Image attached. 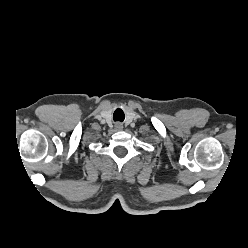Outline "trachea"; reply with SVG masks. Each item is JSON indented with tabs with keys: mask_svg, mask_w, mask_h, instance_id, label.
Here are the masks:
<instances>
[{
	"mask_svg": "<svg viewBox=\"0 0 248 248\" xmlns=\"http://www.w3.org/2000/svg\"><path fill=\"white\" fill-rule=\"evenodd\" d=\"M124 117H125V115L120 108L116 109V111L113 114L114 121H121L122 122L124 120Z\"/></svg>",
	"mask_w": 248,
	"mask_h": 248,
	"instance_id": "3493384b",
	"label": "trachea"
}]
</instances>
